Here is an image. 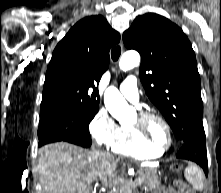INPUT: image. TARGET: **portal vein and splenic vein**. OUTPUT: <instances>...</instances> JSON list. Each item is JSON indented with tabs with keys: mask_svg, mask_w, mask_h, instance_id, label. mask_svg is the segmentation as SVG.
<instances>
[{
	"mask_svg": "<svg viewBox=\"0 0 221 193\" xmlns=\"http://www.w3.org/2000/svg\"><path fill=\"white\" fill-rule=\"evenodd\" d=\"M142 183V178L140 177H137L134 181H132L130 184L135 187V186H138V185H141Z\"/></svg>",
	"mask_w": 221,
	"mask_h": 193,
	"instance_id": "18ae733b",
	"label": "portal vein and splenic vein"
}]
</instances>
